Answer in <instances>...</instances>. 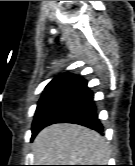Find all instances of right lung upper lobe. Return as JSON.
I'll list each match as a JSON object with an SVG mask.
<instances>
[{"label": "right lung upper lobe", "instance_id": "obj_1", "mask_svg": "<svg viewBox=\"0 0 135 166\" xmlns=\"http://www.w3.org/2000/svg\"><path fill=\"white\" fill-rule=\"evenodd\" d=\"M82 80L83 79L80 76L73 74L58 75L45 87L42 97L47 96L53 92L68 88L72 84L78 83Z\"/></svg>", "mask_w": 135, "mask_h": 166}]
</instances>
